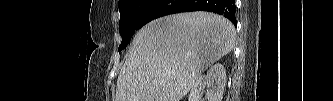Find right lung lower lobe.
Masks as SVG:
<instances>
[{
  "instance_id": "obj_1",
  "label": "right lung lower lobe",
  "mask_w": 333,
  "mask_h": 101,
  "mask_svg": "<svg viewBox=\"0 0 333 101\" xmlns=\"http://www.w3.org/2000/svg\"><path fill=\"white\" fill-rule=\"evenodd\" d=\"M191 11L218 13L237 24L235 0H154L141 18L139 27L165 15Z\"/></svg>"
}]
</instances>
